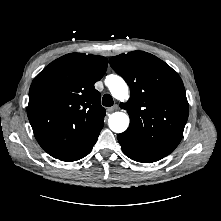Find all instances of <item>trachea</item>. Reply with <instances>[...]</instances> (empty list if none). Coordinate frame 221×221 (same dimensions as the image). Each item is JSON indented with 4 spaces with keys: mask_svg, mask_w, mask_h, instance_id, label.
<instances>
[{
    "mask_svg": "<svg viewBox=\"0 0 221 221\" xmlns=\"http://www.w3.org/2000/svg\"><path fill=\"white\" fill-rule=\"evenodd\" d=\"M114 103L113 98L110 94H105L102 98V104L106 107L112 106Z\"/></svg>",
    "mask_w": 221,
    "mask_h": 221,
    "instance_id": "trachea-1",
    "label": "trachea"
}]
</instances>
